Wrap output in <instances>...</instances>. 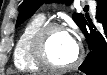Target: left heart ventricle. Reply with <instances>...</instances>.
Segmentation results:
<instances>
[{
	"instance_id": "b2bd125f",
	"label": "left heart ventricle",
	"mask_w": 107,
	"mask_h": 75,
	"mask_svg": "<svg viewBox=\"0 0 107 75\" xmlns=\"http://www.w3.org/2000/svg\"><path fill=\"white\" fill-rule=\"evenodd\" d=\"M47 52L54 63L64 65L75 58L77 46L70 41L66 31L54 30L47 38Z\"/></svg>"
}]
</instances>
